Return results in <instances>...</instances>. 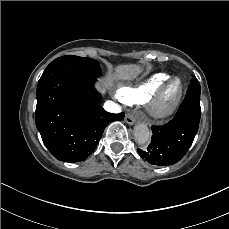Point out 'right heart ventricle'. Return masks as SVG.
I'll use <instances>...</instances> for the list:
<instances>
[{"mask_svg": "<svg viewBox=\"0 0 229 229\" xmlns=\"http://www.w3.org/2000/svg\"><path fill=\"white\" fill-rule=\"evenodd\" d=\"M171 78L165 72H155L144 77L134 85L122 87L119 90V94L128 101L147 99L157 95Z\"/></svg>", "mask_w": 229, "mask_h": 229, "instance_id": "e07e8e85", "label": "right heart ventricle"}]
</instances>
